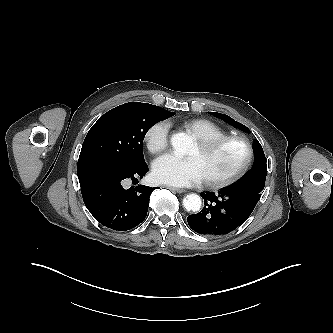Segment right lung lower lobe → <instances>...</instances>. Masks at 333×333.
I'll use <instances>...</instances> for the list:
<instances>
[{
    "label": "right lung lower lobe",
    "mask_w": 333,
    "mask_h": 333,
    "mask_svg": "<svg viewBox=\"0 0 333 333\" xmlns=\"http://www.w3.org/2000/svg\"><path fill=\"white\" fill-rule=\"evenodd\" d=\"M148 171L146 163L129 167L112 160L78 162L77 173L83 201L93 217L114 230H129L146 217L153 188L139 185L124 189L126 179H140Z\"/></svg>",
    "instance_id": "right-lung-lower-lobe-1"
}]
</instances>
